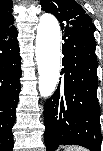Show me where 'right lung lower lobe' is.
<instances>
[{
  "instance_id": "right-lung-lower-lobe-1",
  "label": "right lung lower lobe",
  "mask_w": 103,
  "mask_h": 151,
  "mask_svg": "<svg viewBox=\"0 0 103 151\" xmlns=\"http://www.w3.org/2000/svg\"><path fill=\"white\" fill-rule=\"evenodd\" d=\"M21 57L17 30L0 34V150L13 149L12 127L19 101Z\"/></svg>"
}]
</instances>
